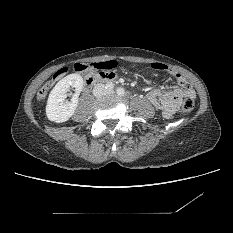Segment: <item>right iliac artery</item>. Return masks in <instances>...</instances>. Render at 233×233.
Instances as JSON below:
<instances>
[{"instance_id":"right-iliac-artery-1","label":"right iliac artery","mask_w":233,"mask_h":233,"mask_svg":"<svg viewBox=\"0 0 233 233\" xmlns=\"http://www.w3.org/2000/svg\"><path fill=\"white\" fill-rule=\"evenodd\" d=\"M106 88L109 89V90L113 89L114 88V84L112 82H109V83L106 84Z\"/></svg>"}]
</instances>
